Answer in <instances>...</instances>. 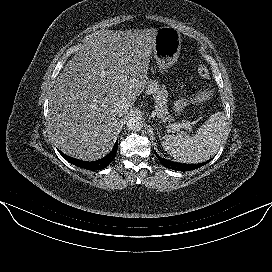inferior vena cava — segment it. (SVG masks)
<instances>
[{
    "mask_svg": "<svg viewBox=\"0 0 272 272\" xmlns=\"http://www.w3.org/2000/svg\"><path fill=\"white\" fill-rule=\"evenodd\" d=\"M129 105L123 101H117L113 106V112L116 116L121 117L124 114L128 113Z\"/></svg>",
    "mask_w": 272,
    "mask_h": 272,
    "instance_id": "obj_1",
    "label": "inferior vena cava"
}]
</instances>
